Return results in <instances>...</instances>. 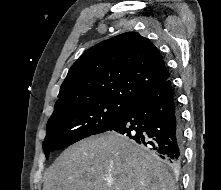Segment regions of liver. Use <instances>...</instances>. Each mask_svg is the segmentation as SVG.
<instances>
[{"instance_id":"obj_1","label":"liver","mask_w":221,"mask_h":190,"mask_svg":"<svg viewBox=\"0 0 221 190\" xmlns=\"http://www.w3.org/2000/svg\"><path fill=\"white\" fill-rule=\"evenodd\" d=\"M43 190H175V185L154 156L126 137L108 133L64 150L45 172Z\"/></svg>"}]
</instances>
